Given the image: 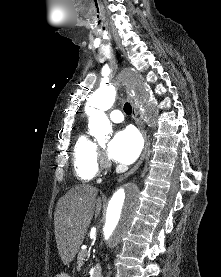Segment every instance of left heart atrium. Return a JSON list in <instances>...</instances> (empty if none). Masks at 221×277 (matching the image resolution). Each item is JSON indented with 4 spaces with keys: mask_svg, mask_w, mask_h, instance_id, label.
Instances as JSON below:
<instances>
[{
    "mask_svg": "<svg viewBox=\"0 0 221 277\" xmlns=\"http://www.w3.org/2000/svg\"><path fill=\"white\" fill-rule=\"evenodd\" d=\"M142 140L137 131L126 127L118 131L109 144L110 157L123 164H131L139 156Z\"/></svg>",
    "mask_w": 221,
    "mask_h": 277,
    "instance_id": "left-heart-atrium-1",
    "label": "left heart atrium"
}]
</instances>
